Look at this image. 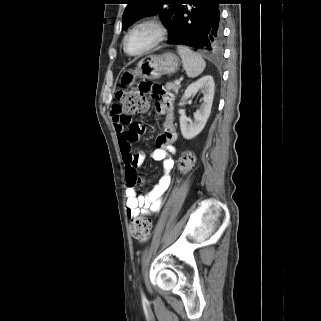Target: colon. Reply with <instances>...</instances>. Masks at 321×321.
Here are the masks:
<instances>
[{
    "label": "colon",
    "instance_id": "obj_1",
    "mask_svg": "<svg viewBox=\"0 0 321 321\" xmlns=\"http://www.w3.org/2000/svg\"><path fill=\"white\" fill-rule=\"evenodd\" d=\"M149 83V82H145ZM147 90L141 91L137 88L126 89L117 93L116 97L120 104L117 106L119 111L126 116L131 114L141 113L148 109L150 99L154 96H147ZM194 164V156L190 152L184 153L179 161V169L182 172L189 171ZM141 180L137 171H133L128 178V186L136 187ZM132 236L140 241L149 239L152 233L151 220L145 217H139L132 220L131 225Z\"/></svg>",
    "mask_w": 321,
    "mask_h": 321
}]
</instances>
